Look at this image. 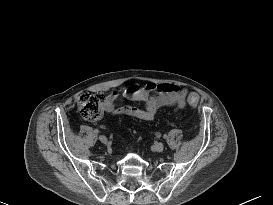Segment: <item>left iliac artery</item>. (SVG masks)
<instances>
[{
  "instance_id": "1",
  "label": "left iliac artery",
  "mask_w": 273,
  "mask_h": 205,
  "mask_svg": "<svg viewBox=\"0 0 273 205\" xmlns=\"http://www.w3.org/2000/svg\"><path fill=\"white\" fill-rule=\"evenodd\" d=\"M163 138H164V139H167V135H164Z\"/></svg>"
}]
</instances>
